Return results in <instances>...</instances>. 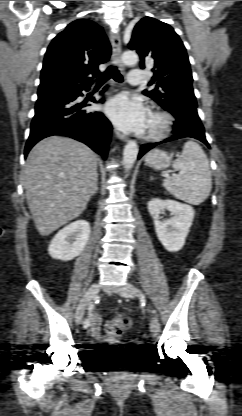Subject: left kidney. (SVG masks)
Masks as SVG:
<instances>
[{
	"label": "left kidney",
	"mask_w": 242,
	"mask_h": 416,
	"mask_svg": "<svg viewBox=\"0 0 242 416\" xmlns=\"http://www.w3.org/2000/svg\"><path fill=\"white\" fill-rule=\"evenodd\" d=\"M147 207L153 218L157 237L164 248L170 252L181 250L194 219V209L174 200L161 199H152ZM164 209L170 211L173 217L160 221L159 214Z\"/></svg>",
	"instance_id": "5707ae66"
}]
</instances>
